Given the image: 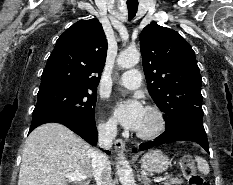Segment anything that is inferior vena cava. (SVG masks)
I'll use <instances>...</instances> for the list:
<instances>
[{
  "label": "inferior vena cava",
  "mask_w": 233,
  "mask_h": 185,
  "mask_svg": "<svg viewBox=\"0 0 233 185\" xmlns=\"http://www.w3.org/2000/svg\"><path fill=\"white\" fill-rule=\"evenodd\" d=\"M117 135L116 123L98 127V145L109 150ZM93 176L97 185H112L111 166L105 153L95 152L92 157Z\"/></svg>",
  "instance_id": "inferior-vena-cava-1"
}]
</instances>
